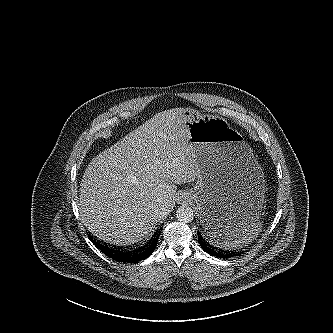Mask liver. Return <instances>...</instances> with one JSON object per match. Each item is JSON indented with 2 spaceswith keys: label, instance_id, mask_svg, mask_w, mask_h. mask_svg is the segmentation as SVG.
Masks as SVG:
<instances>
[{
  "label": "liver",
  "instance_id": "liver-1",
  "mask_svg": "<svg viewBox=\"0 0 333 333\" xmlns=\"http://www.w3.org/2000/svg\"><path fill=\"white\" fill-rule=\"evenodd\" d=\"M187 120L181 108L160 112L92 159L78 204L89 232L110 244L132 245L172 211L176 185L198 176Z\"/></svg>",
  "mask_w": 333,
  "mask_h": 333
}]
</instances>
